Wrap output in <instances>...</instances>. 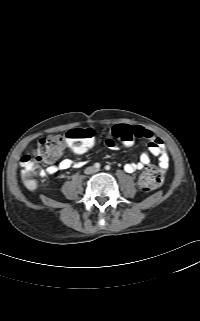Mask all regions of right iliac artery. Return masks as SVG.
Wrapping results in <instances>:
<instances>
[{
  "mask_svg": "<svg viewBox=\"0 0 200 321\" xmlns=\"http://www.w3.org/2000/svg\"><path fill=\"white\" fill-rule=\"evenodd\" d=\"M100 166H101V165H100L99 163H95V164H94V167L97 168V169H99Z\"/></svg>",
  "mask_w": 200,
  "mask_h": 321,
  "instance_id": "obj_1",
  "label": "right iliac artery"
}]
</instances>
